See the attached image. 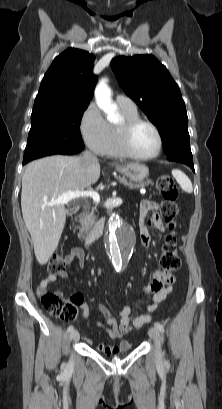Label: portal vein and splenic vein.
<instances>
[{
	"mask_svg": "<svg viewBox=\"0 0 222 409\" xmlns=\"http://www.w3.org/2000/svg\"><path fill=\"white\" fill-rule=\"evenodd\" d=\"M140 192L142 194H145V190H141ZM82 197H91L97 203L100 201V196L95 191L76 190V191H67L64 194L60 195L55 200L46 202L45 204L50 205V206L57 205V204H67L69 201L73 199L82 198Z\"/></svg>",
	"mask_w": 222,
	"mask_h": 409,
	"instance_id": "portal-vein-and-splenic-vein-1",
	"label": "portal vein and splenic vein"
}]
</instances>
